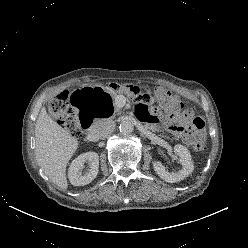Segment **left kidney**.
Listing matches in <instances>:
<instances>
[{
	"instance_id": "left-kidney-1",
	"label": "left kidney",
	"mask_w": 248,
	"mask_h": 248,
	"mask_svg": "<svg viewBox=\"0 0 248 248\" xmlns=\"http://www.w3.org/2000/svg\"><path fill=\"white\" fill-rule=\"evenodd\" d=\"M174 152L179 156V161L182 165V169L178 172H168L159 161L153 163V168L158 176L169 183H175L183 180L184 178L189 176L194 169L190 152L186 147L177 144L174 147Z\"/></svg>"
}]
</instances>
